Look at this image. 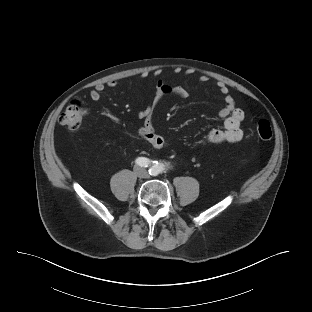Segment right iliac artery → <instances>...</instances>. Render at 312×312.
<instances>
[{"instance_id": "82829eb1", "label": "right iliac artery", "mask_w": 312, "mask_h": 312, "mask_svg": "<svg viewBox=\"0 0 312 312\" xmlns=\"http://www.w3.org/2000/svg\"><path fill=\"white\" fill-rule=\"evenodd\" d=\"M135 162L137 165L146 168L151 165L152 161H150L148 158L145 157H138Z\"/></svg>"}]
</instances>
